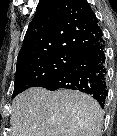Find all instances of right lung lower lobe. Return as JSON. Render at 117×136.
Here are the masks:
<instances>
[{"label": "right lung lower lobe", "mask_w": 117, "mask_h": 136, "mask_svg": "<svg viewBox=\"0 0 117 136\" xmlns=\"http://www.w3.org/2000/svg\"><path fill=\"white\" fill-rule=\"evenodd\" d=\"M103 32L91 46L71 60L62 70L38 87L54 91L59 88L79 90L92 95L104 106L109 88V63Z\"/></svg>", "instance_id": "right-lung-lower-lobe-1"}]
</instances>
